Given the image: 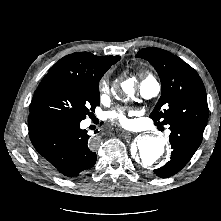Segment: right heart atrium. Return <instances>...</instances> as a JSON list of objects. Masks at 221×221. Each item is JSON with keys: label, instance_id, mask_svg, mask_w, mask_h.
<instances>
[{"label": "right heart atrium", "instance_id": "right-heart-atrium-1", "mask_svg": "<svg viewBox=\"0 0 221 221\" xmlns=\"http://www.w3.org/2000/svg\"><path fill=\"white\" fill-rule=\"evenodd\" d=\"M100 88L103 92H106L108 90V82L107 79L104 78L100 83Z\"/></svg>", "mask_w": 221, "mask_h": 221}]
</instances>
